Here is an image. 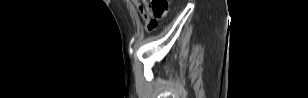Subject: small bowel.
<instances>
[{
  "instance_id": "obj_1",
  "label": "small bowel",
  "mask_w": 308,
  "mask_h": 98,
  "mask_svg": "<svg viewBox=\"0 0 308 98\" xmlns=\"http://www.w3.org/2000/svg\"><path fill=\"white\" fill-rule=\"evenodd\" d=\"M134 3L138 6V8L140 9V4L136 1V0H134ZM140 11H141V9H140ZM150 30V29H149Z\"/></svg>"
}]
</instances>
